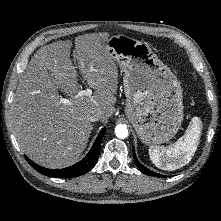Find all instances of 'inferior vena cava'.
Here are the masks:
<instances>
[{"label": "inferior vena cava", "instance_id": "obj_1", "mask_svg": "<svg viewBox=\"0 0 221 221\" xmlns=\"http://www.w3.org/2000/svg\"><path fill=\"white\" fill-rule=\"evenodd\" d=\"M100 118H101V113L99 111H96V110L89 112L88 115H87V119L90 122L98 121Z\"/></svg>", "mask_w": 221, "mask_h": 221}]
</instances>
